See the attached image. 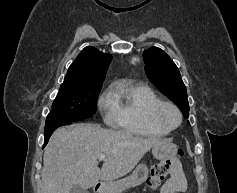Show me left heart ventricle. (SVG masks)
Listing matches in <instances>:
<instances>
[{
    "label": "left heart ventricle",
    "mask_w": 237,
    "mask_h": 193,
    "mask_svg": "<svg viewBox=\"0 0 237 193\" xmlns=\"http://www.w3.org/2000/svg\"><path fill=\"white\" fill-rule=\"evenodd\" d=\"M163 118L170 125L175 124L176 120H177V117H176L175 113L170 109H166L164 111Z\"/></svg>",
    "instance_id": "obj_1"
}]
</instances>
